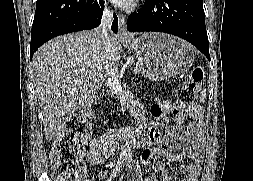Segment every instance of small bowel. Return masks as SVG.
I'll list each match as a JSON object with an SVG mask.
<instances>
[{"label":"small bowel","instance_id":"obj_1","mask_svg":"<svg viewBox=\"0 0 253 181\" xmlns=\"http://www.w3.org/2000/svg\"><path fill=\"white\" fill-rule=\"evenodd\" d=\"M175 107V102L166 100L158 102L151 107L153 124L145 129L142 137L144 150L141 161L145 170H149L150 162L157 157L165 156L172 163H179L178 170L185 174L184 178L173 177L163 163H158L160 173L158 181H198L201 164L203 162L204 145L199 130H189L185 135H180L175 129L170 128L167 134L162 135L159 127H166V114ZM108 141L95 139L90 143L87 158L92 164H101L107 154ZM189 145V152L178 150L180 146ZM189 157L192 161L186 163Z\"/></svg>","mask_w":253,"mask_h":181}]
</instances>
